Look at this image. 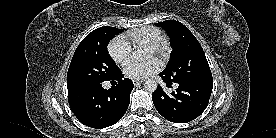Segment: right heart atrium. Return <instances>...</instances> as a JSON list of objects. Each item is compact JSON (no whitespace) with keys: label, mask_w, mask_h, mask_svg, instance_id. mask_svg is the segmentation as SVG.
Instances as JSON below:
<instances>
[{"label":"right heart atrium","mask_w":276,"mask_h":138,"mask_svg":"<svg viewBox=\"0 0 276 138\" xmlns=\"http://www.w3.org/2000/svg\"><path fill=\"white\" fill-rule=\"evenodd\" d=\"M108 53L114 62L125 65L131 57V47L123 36H117L109 43Z\"/></svg>","instance_id":"1"}]
</instances>
